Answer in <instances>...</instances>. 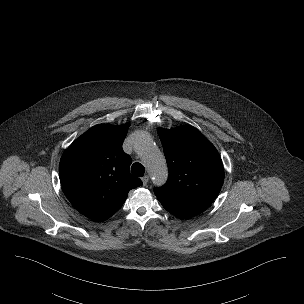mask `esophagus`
<instances>
[{"label": "esophagus", "instance_id": "1", "mask_svg": "<svg viewBox=\"0 0 304 304\" xmlns=\"http://www.w3.org/2000/svg\"><path fill=\"white\" fill-rule=\"evenodd\" d=\"M141 180H142L143 186H146L149 181V177L147 175H145L144 177H142Z\"/></svg>", "mask_w": 304, "mask_h": 304}]
</instances>
